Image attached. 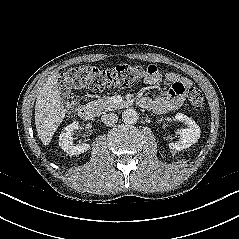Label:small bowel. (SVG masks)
Segmentation results:
<instances>
[{"label": "small bowel", "mask_w": 239, "mask_h": 239, "mask_svg": "<svg viewBox=\"0 0 239 239\" xmlns=\"http://www.w3.org/2000/svg\"><path fill=\"white\" fill-rule=\"evenodd\" d=\"M167 80L172 84L156 98H145L142 104L145 108L155 113H164L166 111L178 108L183 102L185 87L189 85V80L179 78L175 74H168ZM163 76L159 69L151 64L147 67L145 82L149 85H158L162 82Z\"/></svg>", "instance_id": "small-bowel-1"}]
</instances>
